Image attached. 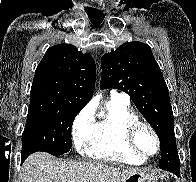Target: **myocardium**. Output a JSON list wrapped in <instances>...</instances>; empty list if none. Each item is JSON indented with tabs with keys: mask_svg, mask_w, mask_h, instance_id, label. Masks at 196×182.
<instances>
[{
	"mask_svg": "<svg viewBox=\"0 0 196 182\" xmlns=\"http://www.w3.org/2000/svg\"><path fill=\"white\" fill-rule=\"evenodd\" d=\"M142 129H147L148 131H150L156 141V150L152 154H147V153L143 152L140 149V147L138 146L137 136ZM126 143H127L128 148L133 153H135L136 155H138L144 159H149V158L154 157L155 155H157L160 152V149H161V140H160L159 134L157 133L156 129L151 124L146 123V122H142V121H137V122L133 123L127 129Z\"/></svg>",
	"mask_w": 196,
	"mask_h": 182,
	"instance_id": "f54148a6",
	"label": "myocardium"
}]
</instances>
